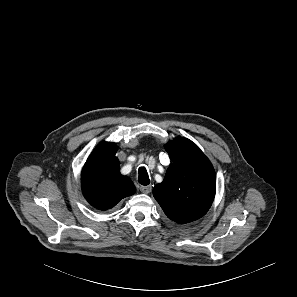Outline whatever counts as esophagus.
Masks as SVG:
<instances>
[{
  "instance_id": "1",
  "label": "esophagus",
  "mask_w": 297,
  "mask_h": 297,
  "mask_svg": "<svg viewBox=\"0 0 297 297\" xmlns=\"http://www.w3.org/2000/svg\"><path fill=\"white\" fill-rule=\"evenodd\" d=\"M151 186L150 185H148V186H141L140 187V191L142 192V193H144V194H148V193H150L151 192Z\"/></svg>"
}]
</instances>
